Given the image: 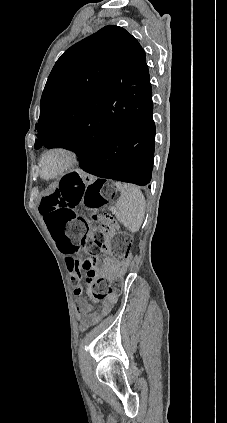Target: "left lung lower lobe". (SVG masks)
Masks as SVG:
<instances>
[{
	"mask_svg": "<svg viewBox=\"0 0 227 423\" xmlns=\"http://www.w3.org/2000/svg\"><path fill=\"white\" fill-rule=\"evenodd\" d=\"M152 112L150 96L144 111L114 110L106 113L94 130L51 148L63 147L74 151L79 157L80 167L90 174L147 185L151 180L154 158Z\"/></svg>",
	"mask_w": 227,
	"mask_h": 423,
	"instance_id": "obj_1",
	"label": "left lung lower lobe"
}]
</instances>
